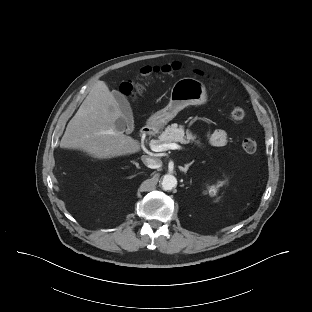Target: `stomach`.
Instances as JSON below:
<instances>
[{"mask_svg": "<svg viewBox=\"0 0 312 312\" xmlns=\"http://www.w3.org/2000/svg\"><path fill=\"white\" fill-rule=\"evenodd\" d=\"M207 102V91L202 82L195 78H182L175 82L166 107L154 113L148 120L150 127L158 129L171 121L189 105H203Z\"/></svg>", "mask_w": 312, "mask_h": 312, "instance_id": "1", "label": "stomach"}]
</instances>
